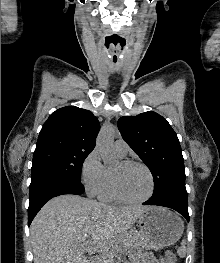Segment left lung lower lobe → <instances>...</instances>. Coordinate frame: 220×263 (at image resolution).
Instances as JSON below:
<instances>
[{"mask_svg": "<svg viewBox=\"0 0 220 263\" xmlns=\"http://www.w3.org/2000/svg\"><path fill=\"white\" fill-rule=\"evenodd\" d=\"M144 205H158L164 206L168 208H172L183 215L186 220L189 222V214H188V204L180 203L171 199H149L143 203Z\"/></svg>", "mask_w": 220, "mask_h": 263, "instance_id": "left-lung-lower-lobe-1", "label": "left lung lower lobe"}]
</instances>
